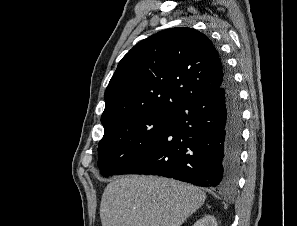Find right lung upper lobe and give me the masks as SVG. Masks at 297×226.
Segmentation results:
<instances>
[{
    "label": "right lung upper lobe",
    "mask_w": 297,
    "mask_h": 226,
    "mask_svg": "<svg viewBox=\"0 0 297 226\" xmlns=\"http://www.w3.org/2000/svg\"><path fill=\"white\" fill-rule=\"evenodd\" d=\"M224 64L203 33L175 27L136 44L119 62L105 91L101 122L137 114L175 111L191 97L223 84Z\"/></svg>",
    "instance_id": "right-lung-upper-lobe-1"
}]
</instances>
